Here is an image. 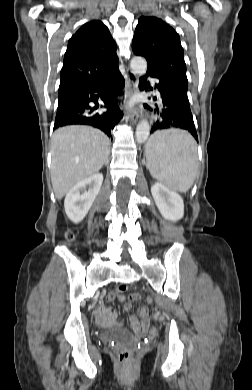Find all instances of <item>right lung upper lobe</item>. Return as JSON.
<instances>
[{"label": "right lung upper lobe", "mask_w": 252, "mask_h": 390, "mask_svg": "<svg viewBox=\"0 0 252 390\" xmlns=\"http://www.w3.org/2000/svg\"><path fill=\"white\" fill-rule=\"evenodd\" d=\"M116 43L101 21L84 24L69 40L60 74L58 99L103 81L116 68Z\"/></svg>", "instance_id": "cb5924a9"}]
</instances>
